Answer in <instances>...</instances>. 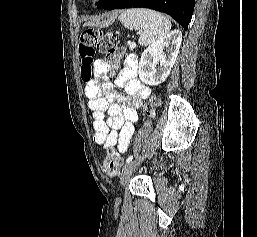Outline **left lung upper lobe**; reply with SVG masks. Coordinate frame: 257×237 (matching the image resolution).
<instances>
[{
    "label": "left lung upper lobe",
    "mask_w": 257,
    "mask_h": 237,
    "mask_svg": "<svg viewBox=\"0 0 257 237\" xmlns=\"http://www.w3.org/2000/svg\"><path fill=\"white\" fill-rule=\"evenodd\" d=\"M108 1L109 0H99L97 3V8L99 9L103 8L108 3Z\"/></svg>",
    "instance_id": "obj_1"
}]
</instances>
